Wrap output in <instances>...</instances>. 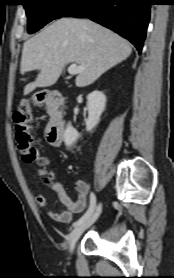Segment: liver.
I'll return each mask as SVG.
<instances>
[{"mask_svg": "<svg viewBox=\"0 0 174 278\" xmlns=\"http://www.w3.org/2000/svg\"><path fill=\"white\" fill-rule=\"evenodd\" d=\"M131 52L126 39L91 20L61 18L23 45L21 73L39 70L36 80L25 86L24 94L55 84L70 62L85 67L76 77V86H88Z\"/></svg>", "mask_w": 174, "mask_h": 278, "instance_id": "1", "label": "liver"}]
</instances>
